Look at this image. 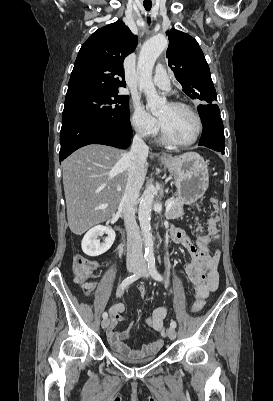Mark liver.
<instances>
[{"instance_id": "obj_1", "label": "liver", "mask_w": 273, "mask_h": 401, "mask_svg": "<svg viewBox=\"0 0 273 401\" xmlns=\"http://www.w3.org/2000/svg\"><path fill=\"white\" fill-rule=\"evenodd\" d=\"M124 154L127 150L88 144L64 160L62 176L67 219L74 235H83L94 225L107 221L118 209L128 178ZM144 168L147 170L148 162ZM99 205L109 207L97 209Z\"/></svg>"}]
</instances>
